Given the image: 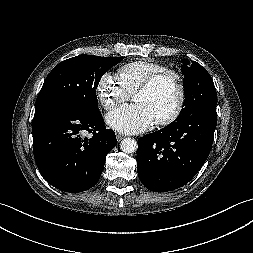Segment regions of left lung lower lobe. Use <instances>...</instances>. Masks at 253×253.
Wrapping results in <instances>:
<instances>
[{
	"mask_svg": "<svg viewBox=\"0 0 253 253\" xmlns=\"http://www.w3.org/2000/svg\"><path fill=\"white\" fill-rule=\"evenodd\" d=\"M217 124L215 110L200 109L172 126L139 138L137 170L151 191L184 186L206 161Z\"/></svg>",
	"mask_w": 253,
	"mask_h": 253,
	"instance_id": "0a47b994",
	"label": "left lung lower lobe"
}]
</instances>
